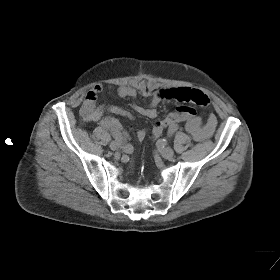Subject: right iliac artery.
<instances>
[{"mask_svg": "<svg viewBox=\"0 0 280 280\" xmlns=\"http://www.w3.org/2000/svg\"><path fill=\"white\" fill-rule=\"evenodd\" d=\"M100 125L104 129L109 130L111 132L113 138L120 145H122V147L126 153L130 154L133 152V150H134L133 146L127 142L126 138L122 135V133L118 129H116L108 119L101 120Z\"/></svg>", "mask_w": 280, "mask_h": 280, "instance_id": "82829eb1", "label": "right iliac artery"}]
</instances>
